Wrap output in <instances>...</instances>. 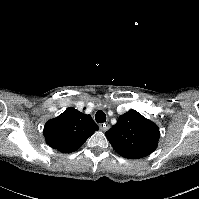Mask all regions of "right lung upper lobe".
I'll return each mask as SVG.
<instances>
[{"label": "right lung upper lobe", "instance_id": "obj_1", "mask_svg": "<svg viewBox=\"0 0 199 199\" xmlns=\"http://www.w3.org/2000/svg\"><path fill=\"white\" fill-rule=\"evenodd\" d=\"M97 130L99 127L90 115L68 108L45 124L44 136L49 146L70 153L80 148Z\"/></svg>", "mask_w": 199, "mask_h": 199}]
</instances>
